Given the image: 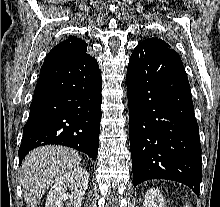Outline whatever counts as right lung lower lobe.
<instances>
[{
  "label": "right lung lower lobe",
  "instance_id": "98d812e1",
  "mask_svg": "<svg viewBox=\"0 0 220 207\" xmlns=\"http://www.w3.org/2000/svg\"><path fill=\"white\" fill-rule=\"evenodd\" d=\"M101 90L99 66L89 54L44 61L23 129L19 165L30 150L47 144L72 147L96 159Z\"/></svg>",
  "mask_w": 220,
  "mask_h": 207
}]
</instances>
